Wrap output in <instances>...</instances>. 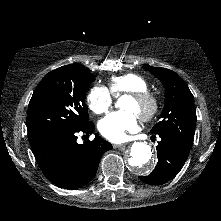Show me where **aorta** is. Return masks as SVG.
Instances as JSON below:
<instances>
[{
    "label": "aorta",
    "mask_w": 221,
    "mask_h": 221,
    "mask_svg": "<svg viewBox=\"0 0 221 221\" xmlns=\"http://www.w3.org/2000/svg\"><path fill=\"white\" fill-rule=\"evenodd\" d=\"M128 169L136 175H145L155 167L152 150L144 142H134L125 157Z\"/></svg>",
    "instance_id": "obj_1"
}]
</instances>
